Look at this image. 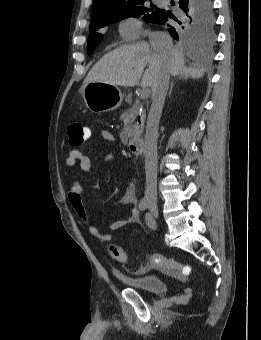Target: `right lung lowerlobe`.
<instances>
[{
	"mask_svg": "<svg viewBox=\"0 0 261 340\" xmlns=\"http://www.w3.org/2000/svg\"><path fill=\"white\" fill-rule=\"evenodd\" d=\"M171 5L175 8L173 13L171 11L160 9L159 14L153 19L152 23L168 26V31L174 39H176V37L175 33L172 32V27H174L173 20L176 21V19H178L182 14L187 13L191 8H197L209 13L213 12L212 0H174L171 1Z\"/></svg>",
	"mask_w": 261,
	"mask_h": 340,
	"instance_id": "obj_1",
	"label": "right lung lower lobe"
}]
</instances>
